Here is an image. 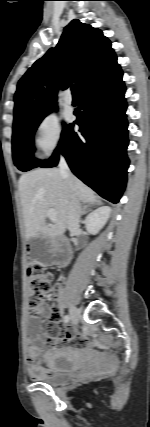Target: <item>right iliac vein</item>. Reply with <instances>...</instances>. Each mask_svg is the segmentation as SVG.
<instances>
[{
	"label": "right iliac vein",
	"instance_id": "right-iliac-vein-1",
	"mask_svg": "<svg viewBox=\"0 0 150 427\" xmlns=\"http://www.w3.org/2000/svg\"><path fill=\"white\" fill-rule=\"evenodd\" d=\"M69 313H70V319H71L72 323L77 324L79 321V317H80V313H79L78 309L74 306H71Z\"/></svg>",
	"mask_w": 150,
	"mask_h": 427
}]
</instances>
